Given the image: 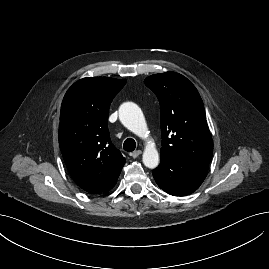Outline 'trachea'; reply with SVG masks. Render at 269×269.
Instances as JSON below:
<instances>
[{"label":"trachea","mask_w":269,"mask_h":269,"mask_svg":"<svg viewBox=\"0 0 269 269\" xmlns=\"http://www.w3.org/2000/svg\"><path fill=\"white\" fill-rule=\"evenodd\" d=\"M136 148V142L132 138H128L124 141L123 149L127 152H132Z\"/></svg>","instance_id":"1"}]
</instances>
